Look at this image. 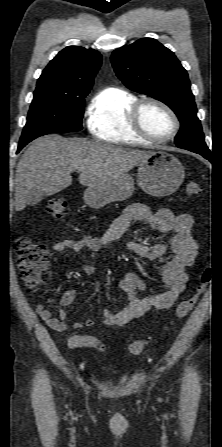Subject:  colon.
Returning <instances> with one entry per match:
<instances>
[{"instance_id":"1","label":"colon","mask_w":222,"mask_h":447,"mask_svg":"<svg viewBox=\"0 0 222 447\" xmlns=\"http://www.w3.org/2000/svg\"><path fill=\"white\" fill-rule=\"evenodd\" d=\"M185 193L190 197L199 195L201 193L199 182L194 178L188 179L185 186ZM67 209L68 202L64 197L52 198L45 204V212L55 219L65 218ZM14 246L17 253V267L21 280L30 291H35L40 285L48 282L51 278L49 269L51 252L45 244L36 243L26 236L17 237ZM212 276V268L209 266L205 267L200 275L196 292L177 305L174 313L175 319H182L190 313L198 302L200 294L211 282ZM144 346V340H135L129 345V352L134 356H138L143 351ZM94 348L99 351L105 350V346L98 340L94 342Z\"/></svg>"}]
</instances>
